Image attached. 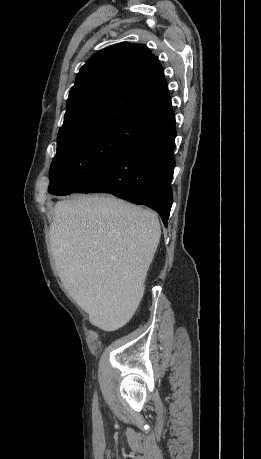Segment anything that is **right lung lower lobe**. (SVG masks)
<instances>
[{
    "mask_svg": "<svg viewBox=\"0 0 261 459\" xmlns=\"http://www.w3.org/2000/svg\"><path fill=\"white\" fill-rule=\"evenodd\" d=\"M175 137L172 113L151 125L121 156L73 192L110 193L146 205L158 212L167 227L173 202Z\"/></svg>",
    "mask_w": 261,
    "mask_h": 459,
    "instance_id": "98d812e1",
    "label": "right lung lower lobe"
}]
</instances>
